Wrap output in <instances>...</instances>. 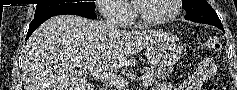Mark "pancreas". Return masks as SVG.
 Listing matches in <instances>:
<instances>
[{
  "label": "pancreas",
  "instance_id": "1",
  "mask_svg": "<svg viewBox=\"0 0 237 90\" xmlns=\"http://www.w3.org/2000/svg\"><path fill=\"white\" fill-rule=\"evenodd\" d=\"M167 68H170V65H167ZM171 70H166V67H155L147 68L142 72L140 76L141 80H150L151 84L157 82V80H166L170 74Z\"/></svg>",
  "mask_w": 237,
  "mask_h": 90
}]
</instances>
